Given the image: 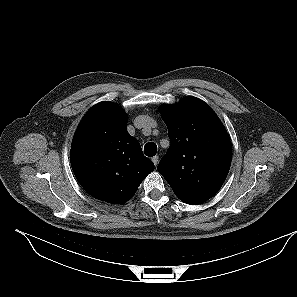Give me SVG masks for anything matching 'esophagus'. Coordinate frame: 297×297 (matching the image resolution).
Returning a JSON list of instances; mask_svg holds the SVG:
<instances>
[{
    "mask_svg": "<svg viewBox=\"0 0 297 297\" xmlns=\"http://www.w3.org/2000/svg\"><path fill=\"white\" fill-rule=\"evenodd\" d=\"M158 161H159V156H154V157L152 158V162L154 163L155 166H157Z\"/></svg>",
    "mask_w": 297,
    "mask_h": 297,
    "instance_id": "1",
    "label": "esophagus"
}]
</instances>
